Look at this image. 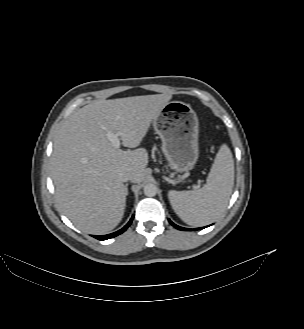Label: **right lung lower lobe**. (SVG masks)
<instances>
[{"label": "right lung lower lobe", "mask_w": 304, "mask_h": 329, "mask_svg": "<svg viewBox=\"0 0 304 329\" xmlns=\"http://www.w3.org/2000/svg\"><path fill=\"white\" fill-rule=\"evenodd\" d=\"M133 217L130 219V221L122 229L118 230L117 232H114V233H111V234H108V235L93 236V237H95L96 239H99V240H106V239H110V238L116 237L119 234L123 233L130 226V224H131V222L133 220Z\"/></svg>", "instance_id": "obj_1"}]
</instances>
